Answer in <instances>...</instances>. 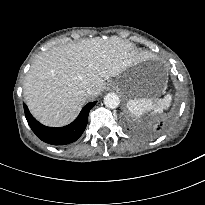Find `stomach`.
<instances>
[{
  "mask_svg": "<svg viewBox=\"0 0 205 205\" xmlns=\"http://www.w3.org/2000/svg\"><path fill=\"white\" fill-rule=\"evenodd\" d=\"M115 88L127 98H158L165 90L166 80H148L144 70L139 65H133L126 69L114 84Z\"/></svg>",
  "mask_w": 205,
  "mask_h": 205,
  "instance_id": "stomach-1",
  "label": "stomach"
}]
</instances>
